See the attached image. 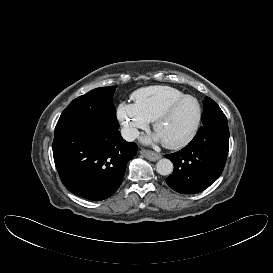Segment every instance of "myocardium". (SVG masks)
<instances>
[{
	"mask_svg": "<svg viewBox=\"0 0 273 273\" xmlns=\"http://www.w3.org/2000/svg\"><path fill=\"white\" fill-rule=\"evenodd\" d=\"M185 100H193L196 103L197 106V118L196 121L194 123V126L192 128V130L190 131V133L181 141L176 142V143H167V142H163L164 146H166L167 148L170 149H181L184 148L185 146H187L197 135L200 124H201V119H202V108L201 105L199 103V101L191 95H184L180 98H177L175 100H173L172 102H170L154 119L153 121V129L156 131L157 127L159 126V124L165 120L173 111V109L179 105L180 103H182Z\"/></svg>",
	"mask_w": 273,
	"mask_h": 273,
	"instance_id": "1",
	"label": "myocardium"
}]
</instances>
